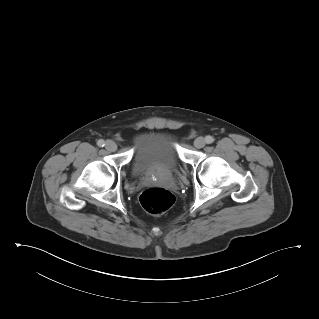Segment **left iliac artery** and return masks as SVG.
<instances>
[{
  "instance_id": "44dca946",
  "label": "left iliac artery",
  "mask_w": 319,
  "mask_h": 319,
  "mask_svg": "<svg viewBox=\"0 0 319 319\" xmlns=\"http://www.w3.org/2000/svg\"><path fill=\"white\" fill-rule=\"evenodd\" d=\"M205 141L207 144H211L214 141V139L212 136L208 135V136H206Z\"/></svg>"
}]
</instances>
